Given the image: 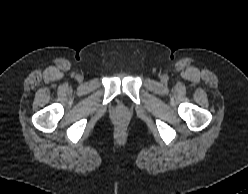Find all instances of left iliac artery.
<instances>
[{
  "mask_svg": "<svg viewBox=\"0 0 248 194\" xmlns=\"http://www.w3.org/2000/svg\"><path fill=\"white\" fill-rule=\"evenodd\" d=\"M165 79L167 80V79H168V77H167V76H165Z\"/></svg>",
  "mask_w": 248,
  "mask_h": 194,
  "instance_id": "1",
  "label": "left iliac artery"
}]
</instances>
